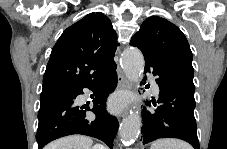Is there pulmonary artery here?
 <instances>
[{
	"label": "pulmonary artery",
	"mask_w": 227,
	"mask_h": 149,
	"mask_svg": "<svg viewBox=\"0 0 227 149\" xmlns=\"http://www.w3.org/2000/svg\"><path fill=\"white\" fill-rule=\"evenodd\" d=\"M152 91H153L154 94L159 93V87H158V85L156 84L155 81H152Z\"/></svg>",
	"instance_id": "e3ab8cb5"
}]
</instances>
